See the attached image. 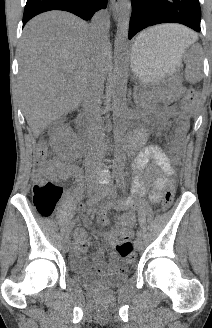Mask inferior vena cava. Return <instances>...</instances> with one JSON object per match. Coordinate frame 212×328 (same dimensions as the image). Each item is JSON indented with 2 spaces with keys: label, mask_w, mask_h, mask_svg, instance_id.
Listing matches in <instances>:
<instances>
[{
  "label": "inferior vena cava",
  "mask_w": 212,
  "mask_h": 328,
  "mask_svg": "<svg viewBox=\"0 0 212 328\" xmlns=\"http://www.w3.org/2000/svg\"><path fill=\"white\" fill-rule=\"evenodd\" d=\"M108 25V15L106 11L101 10L92 18L90 24L94 36L100 40H104L106 36V27ZM104 91V81L99 71L91 73L86 90L83 97V115L87 123V140H88V153L86 162L88 167H93L90 174L93 177L100 175L101 164L99 156L92 152V149L100 145L102 139V126L101 119V98Z\"/></svg>",
  "instance_id": "inferior-vena-cava-1"
}]
</instances>
